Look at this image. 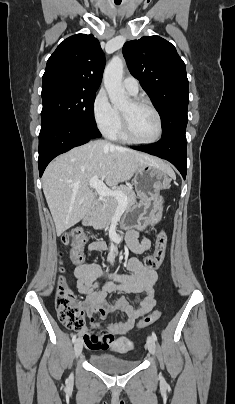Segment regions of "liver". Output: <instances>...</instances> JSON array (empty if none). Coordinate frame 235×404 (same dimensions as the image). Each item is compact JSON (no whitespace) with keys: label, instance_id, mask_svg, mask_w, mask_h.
Segmentation results:
<instances>
[{"label":"liver","instance_id":"obj_1","mask_svg":"<svg viewBox=\"0 0 235 404\" xmlns=\"http://www.w3.org/2000/svg\"><path fill=\"white\" fill-rule=\"evenodd\" d=\"M145 164L174 175L170 165L159 158L103 140L91 141L58 156L43 174V192L57 235L77 224L90 211L94 199L89 185L92 177L116 185L130 179Z\"/></svg>","mask_w":235,"mask_h":404}]
</instances>
